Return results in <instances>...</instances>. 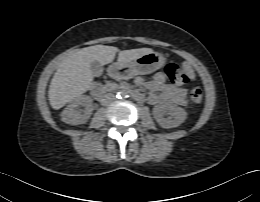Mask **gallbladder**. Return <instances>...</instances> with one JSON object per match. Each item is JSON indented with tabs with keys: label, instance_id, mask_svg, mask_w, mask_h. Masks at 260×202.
Returning a JSON list of instances; mask_svg holds the SVG:
<instances>
[{
	"label": "gallbladder",
	"instance_id": "gallbladder-1",
	"mask_svg": "<svg viewBox=\"0 0 260 202\" xmlns=\"http://www.w3.org/2000/svg\"><path fill=\"white\" fill-rule=\"evenodd\" d=\"M91 73L93 76L99 77L103 73V67L98 61H92L90 66Z\"/></svg>",
	"mask_w": 260,
	"mask_h": 202
}]
</instances>
